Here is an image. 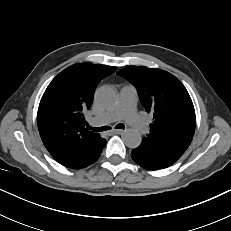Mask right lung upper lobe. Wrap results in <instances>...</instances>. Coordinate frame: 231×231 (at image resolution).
<instances>
[{"label": "right lung upper lobe", "instance_id": "cb5924a9", "mask_svg": "<svg viewBox=\"0 0 231 231\" xmlns=\"http://www.w3.org/2000/svg\"><path fill=\"white\" fill-rule=\"evenodd\" d=\"M115 70L88 62L74 64L46 88L38 108V129L44 146L60 164L77 160L102 140L85 128L84 113L92 104L98 83Z\"/></svg>", "mask_w": 231, "mask_h": 231}]
</instances>
